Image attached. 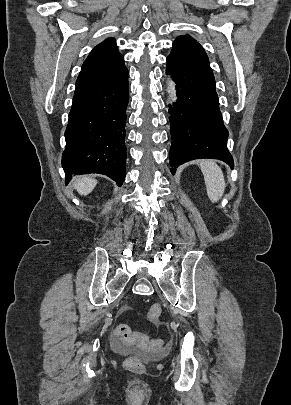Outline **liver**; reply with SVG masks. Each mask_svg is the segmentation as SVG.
<instances>
[{"instance_id": "liver-1", "label": "liver", "mask_w": 291, "mask_h": 405, "mask_svg": "<svg viewBox=\"0 0 291 405\" xmlns=\"http://www.w3.org/2000/svg\"><path fill=\"white\" fill-rule=\"evenodd\" d=\"M97 184V180L83 176L81 178L75 179L74 186L78 193L81 195H87L92 192Z\"/></svg>"}]
</instances>
